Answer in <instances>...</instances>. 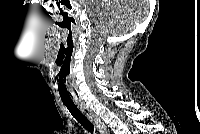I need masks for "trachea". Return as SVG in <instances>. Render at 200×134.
<instances>
[{"label":"trachea","instance_id":"1","mask_svg":"<svg viewBox=\"0 0 200 134\" xmlns=\"http://www.w3.org/2000/svg\"><path fill=\"white\" fill-rule=\"evenodd\" d=\"M72 116L83 126L88 132H94L93 124L87 119V117L77 108V106L71 101H63Z\"/></svg>","mask_w":200,"mask_h":134}]
</instances>
